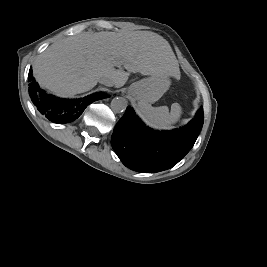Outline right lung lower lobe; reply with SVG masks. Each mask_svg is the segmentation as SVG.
<instances>
[{
    "mask_svg": "<svg viewBox=\"0 0 267 267\" xmlns=\"http://www.w3.org/2000/svg\"><path fill=\"white\" fill-rule=\"evenodd\" d=\"M30 84L29 94L38 111L47 119L55 123H69L76 120L85 108L96 100L107 98L103 93H95L83 99H60L48 95L43 91L32 77V69L29 70Z\"/></svg>",
    "mask_w": 267,
    "mask_h": 267,
    "instance_id": "obj_1",
    "label": "right lung lower lobe"
}]
</instances>
